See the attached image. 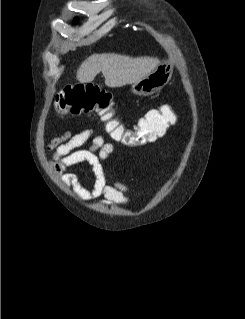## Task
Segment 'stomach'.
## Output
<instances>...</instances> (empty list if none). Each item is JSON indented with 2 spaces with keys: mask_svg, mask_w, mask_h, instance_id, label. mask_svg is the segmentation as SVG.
<instances>
[{
  "mask_svg": "<svg viewBox=\"0 0 245 319\" xmlns=\"http://www.w3.org/2000/svg\"><path fill=\"white\" fill-rule=\"evenodd\" d=\"M172 73V64L169 61H162L146 77L132 84L131 92L138 96L152 95L170 81Z\"/></svg>",
  "mask_w": 245,
  "mask_h": 319,
  "instance_id": "0dacf381",
  "label": "stomach"
}]
</instances>
